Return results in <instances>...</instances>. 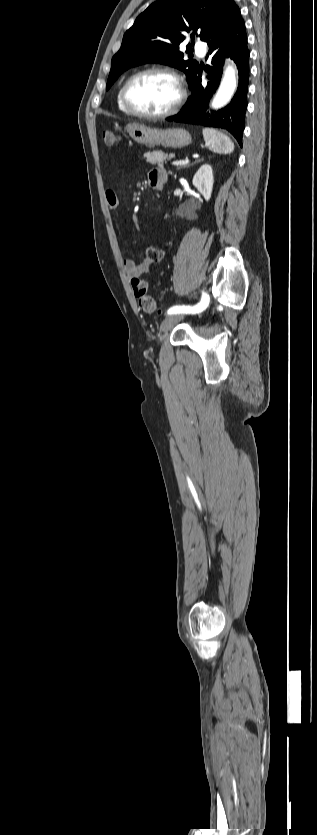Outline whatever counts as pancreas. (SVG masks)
Wrapping results in <instances>:
<instances>
[{"mask_svg": "<svg viewBox=\"0 0 317 835\" xmlns=\"http://www.w3.org/2000/svg\"><path fill=\"white\" fill-rule=\"evenodd\" d=\"M173 157H174V155H173V154H171V155H169V156H168V155H164L162 152H160V151H158V150H154V151H152V152H146V153L144 154V158H146V161H147L148 163H150V164H152V165H156V164H157V165H159V166H161V165L163 164V162H164L167 158H173Z\"/></svg>", "mask_w": 317, "mask_h": 835, "instance_id": "cf45deb5", "label": "pancreas"}]
</instances>
